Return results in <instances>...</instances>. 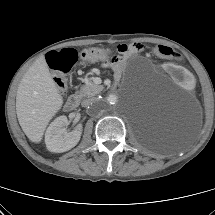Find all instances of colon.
I'll return each instance as SVG.
<instances>
[{"instance_id":"1","label":"colon","mask_w":215,"mask_h":215,"mask_svg":"<svg viewBox=\"0 0 215 215\" xmlns=\"http://www.w3.org/2000/svg\"><path fill=\"white\" fill-rule=\"evenodd\" d=\"M137 49L135 43L121 44L118 46L120 54H126ZM154 53L161 58L175 59L186 64L187 58L182 54H177L172 48L164 45H158L154 48ZM81 57L85 60H112L110 51L104 48H86L81 51ZM78 59V52L75 49L67 48L60 51H50L46 55V61L53 72L54 81L60 90L66 88V75Z\"/></svg>"}]
</instances>
